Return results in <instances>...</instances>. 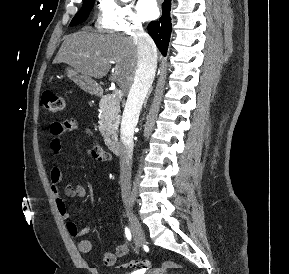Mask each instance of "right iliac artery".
Returning a JSON list of instances; mask_svg holds the SVG:
<instances>
[{
  "label": "right iliac artery",
  "instance_id": "obj_1",
  "mask_svg": "<svg viewBox=\"0 0 289 274\" xmlns=\"http://www.w3.org/2000/svg\"><path fill=\"white\" fill-rule=\"evenodd\" d=\"M125 235H126L127 239L129 241H131V238H132L131 232H130V230L127 227L125 228Z\"/></svg>",
  "mask_w": 289,
  "mask_h": 274
}]
</instances>
